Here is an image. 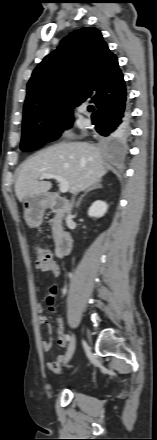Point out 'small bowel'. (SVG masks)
Returning a JSON list of instances; mask_svg holds the SVG:
<instances>
[{
    "label": "small bowel",
    "mask_w": 157,
    "mask_h": 440,
    "mask_svg": "<svg viewBox=\"0 0 157 440\" xmlns=\"http://www.w3.org/2000/svg\"><path fill=\"white\" fill-rule=\"evenodd\" d=\"M36 268L42 272H47L52 276H57L60 272L59 266L53 260H51L50 263H48L45 266L36 267ZM49 305L52 306V302H49ZM51 309L53 310L52 307H51ZM36 310L39 314V318H38L39 324L47 326L49 333H51L50 321H49L48 317H46L43 314V311H44L43 306L41 304H37ZM57 322H58L57 344L59 347L65 348L67 346V342H66V338H65V335L63 332V325H62L61 318H58ZM51 347H52L51 341H43L42 342V348L45 352H49L51 350ZM68 361L69 360H67V354H60L55 358V360L47 362L46 366L50 371H52L54 373H59L62 370V367Z\"/></svg>",
    "instance_id": "obj_1"
}]
</instances>
